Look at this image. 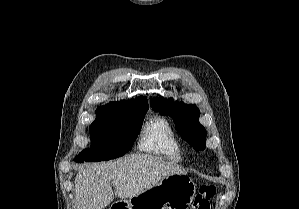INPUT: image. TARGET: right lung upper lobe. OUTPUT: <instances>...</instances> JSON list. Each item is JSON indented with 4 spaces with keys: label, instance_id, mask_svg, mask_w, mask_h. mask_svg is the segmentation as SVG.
<instances>
[{
    "label": "right lung upper lobe",
    "instance_id": "cb5924a9",
    "mask_svg": "<svg viewBox=\"0 0 299 209\" xmlns=\"http://www.w3.org/2000/svg\"><path fill=\"white\" fill-rule=\"evenodd\" d=\"M148 101L146 97H138L130 101L112 102L97 108L99 115H125L147 112Z\"/></svg>",
    "mask_w": 299,
    "mask_h": 209
}]
</instances>
